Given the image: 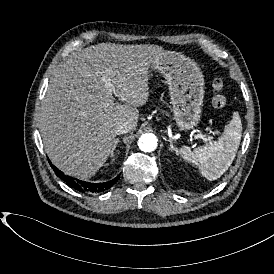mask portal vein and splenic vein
<instances>
[{
	"instance_id": "18ae733b",
	"label": "portal vein and splenic vein",
	"mask_w": 274,
	"mask_h": 274,
	"mask_svg": "<svg viewBox=\"0 0 274 274\" xmlns=\"http://www.w3.org/2000/svg\"><path fill=\"white\" fill-rule=\"evenodd\" d=\"M105 85H106V87H107L109 90H111L112 88H114V84L111 83V82H105ZM205 143H206V142H205Z\"/></svg>"
}]
</instances>
